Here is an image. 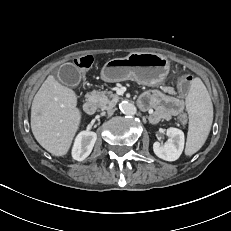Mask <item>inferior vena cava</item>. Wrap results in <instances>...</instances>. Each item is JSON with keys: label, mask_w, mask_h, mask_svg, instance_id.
Returning a JSON list of instances; mask_svg holds the SVG:
<instances>
[{"label": "inferior vena cava", "mask_w": 231, "mask_h": 231, "mask_svg": "<svg viewBox=\"0 0 231 231\" xmlns=\"http://www.w3.org/2000/svg\"><path fill=\"white\" fill-rule=\"evenodd\" d=\"M113 113H114V109H108V111H107V114L109 115V116H111V115H113Z\"/></svg>", "instance_id": "inferior-vena-cava-1"}]
</instances>
